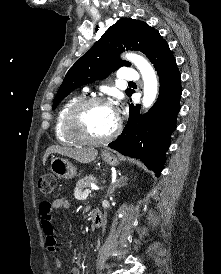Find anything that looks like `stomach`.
I'll use <instances>...</instances> for the list:
<instances>
[{
    "label": "stomach",
    "mask_w": 221,
    "mask_h": 274,
    "mask_svg": "<svg viewBox=\"0 0 221 274\" xmlns=\"http://www.w3.org/2000/svg\"><path fill=\"white\" fill-rule=\"evenodd\" d=\"M102 159L110 165H117L118 159L109 151L102 152ZM50 170L60 179H72L76 176V167L66 158L53 157L50 162Z\"/></svg>",
    "instance_id": "1"
}]
</instances>
